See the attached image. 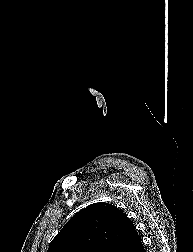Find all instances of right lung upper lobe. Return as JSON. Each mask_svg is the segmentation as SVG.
<instances>
[{"mask_svg": "<svg viewBox=\"0 0 193 252\" xmlns=\"http://www.w3.org/2000/svg\"><path fill=\"white\" fill-rule=\"evenodd\" d=\"M140 243L131 220L117 207L99 202L76 213L47 252H133Z\"/></svg>", "mask_w": 193, "mask_h": 252, "instance_id": "obj_1", "label": "right lung upper lobe"}]
</instances>
